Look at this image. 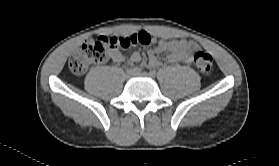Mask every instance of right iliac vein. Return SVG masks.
Instances as JSON below:
<instances>
[{
	"instance_id": "63e3f726",
	"label": "right iliac vein",
	"mask_w": 279,
	"mask_h": 166,
	"mask_svg": "<svg viewBox=\"0 0 279 166\" xmlns=\"http://www.w3.org/2000/svg\"><path fill=\"white\" fill-rule=\"evenodd\" d=\"M136 73L131 69L126 72V78L134 76Z\"/></svg>"
}]
</instances>
